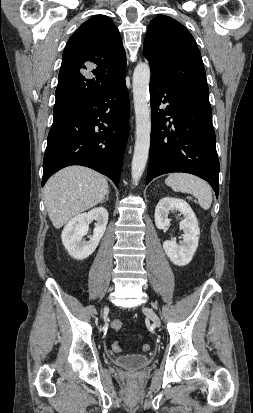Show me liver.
<instances>
[{
    "instance_id": "obj_1",
    "label": "liver",
    "mask_w": 253,
    "mask_h": 413,
    "mask_svg": "<svg viewBox=\"0 0 253 413\" xmlns=\"http://www.w3.org/2000/svg\"><path fill=\"white\" fill-rule=\"evenodd\" d=\"M109 192L106 178L83 166H70L45 184L44 203L56 229L76 215L96 206Z\"/></svg>"
}]
</instances>
